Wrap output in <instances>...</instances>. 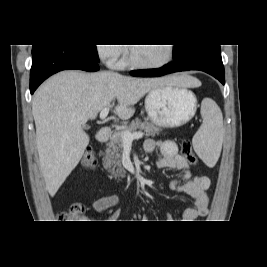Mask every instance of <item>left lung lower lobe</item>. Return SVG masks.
<instances>
[{"label": "left lung lower lobe", "instance_id": "0a47b994", "mask_svg": "<svg viewBox=\"0 0 267 267\" xmlns=\"http://www.w3.org/2000/svg\"><path fill=\"white\" fill-rule=\"evenodd\" d=\"M175 61L157 69H142L131 71L132 76L158 77L174 72L187 70L204 71L223 85L225 84L224 66L221 58L220 45H195L184 51Z\"/></svg>", "mask_w": 267, "mask_h": 267}]
</instances>
